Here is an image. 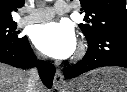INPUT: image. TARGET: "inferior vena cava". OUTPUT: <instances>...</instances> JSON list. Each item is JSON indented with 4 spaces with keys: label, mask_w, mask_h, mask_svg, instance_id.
Instances as JSON below:
<instances>
[{
    "label": "inferior vena cava",
    "mask_w": 127,
    "mask_h": 92,
    "mask_svg": "<svg viewBox=\"0 0 127 92\" xmlns=\"http://www.w3.org/2000/svg\"><path fill=\"white\" fill-rule=\"evenodd\" d=\"M28 73L27 92H37V84L40 82L38 71L33 68Z\"/></svg>",
    "instance_id": "602c4592"
}]
</instances>
